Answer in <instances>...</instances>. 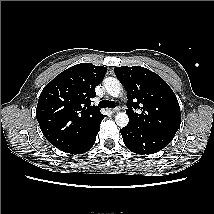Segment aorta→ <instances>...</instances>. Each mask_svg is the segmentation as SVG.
Here are the masks:
<instances>
[{
  "instance_id": "aorta-1",
  "label": "aorta",
  "mask_w": 214,
  "mask_h": 214,
  "mask_svg": "<svg viewBox=\"0 0 214 214\" xmlns=\"http://www.w3.org/2000/svg\"><path fill=\"white\" fill-rule=\"evenodd\" d=\"M103 84L107 93L112 97H118L121 93L122 86L118 79L107 77L103 80ZM115 122L119 127L123 128L128 125L129 117L126 112H119L115 116Z\"/></svg>"
}]
</instances>
